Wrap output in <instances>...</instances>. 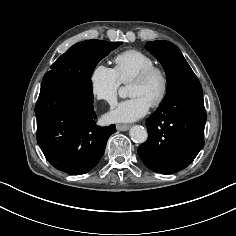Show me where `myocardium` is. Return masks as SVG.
<instances>
[{
    "instance_id": "obj_1",
    "label": "myocardium",
    "mask_w": 236,
    "mask_h": 236,
    "mask_svg": "<svg viewBox=\"0 0 236 236\" xmlns=\"http://www.w3.org/2000/svg\"><path fill=\"white\" fill-rule=\"evenodd\" d=\"M158 75L162 82V89L158 97L155 99V101L151 104V107H158L160 106L164 100L167 97L170 81L169 76L166 72V70L160 66L152 65L144 70H142L140 73H138L130 82V84L134 83H144L148 81L152 76Z\"/></svg>"
}]
</instances>
